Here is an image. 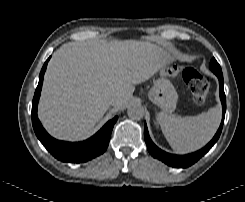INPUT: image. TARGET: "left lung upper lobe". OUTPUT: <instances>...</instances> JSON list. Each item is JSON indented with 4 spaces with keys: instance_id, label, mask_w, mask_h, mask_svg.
<instances>
[{
    "instance_id": "5c2ea615",
    "label": "left lung upper lobe",
    "mask_w": 245,
    "mask_h": 202,
    "mask_svg": "<svg viewBox=\"0 0 245 202\" xmlns=\"http://www.w3.org/2000/svg\"><path fill=\"white\" fill-rule=\"evenodd\" d=\"M210 70L216 74V75H222V70L218 62L215 60V58H212L210 64H209Z\"/></svg>"
}]
</instances>
